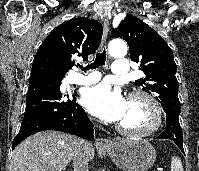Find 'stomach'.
<instances>
[{
    "mask_svg": "<svg viewBox=\"0 0 199 171\" xmlns=\"http://www.w3.org/2000/svg\"><path fill=\"white\" fill-rule=\"evenodd\" d=\"M102 150L124 171H147L156 158L154 147L144 139L120 138Z\"/></svg>",
    "mask_w": 199,
    "mask_h": 171,
    "instance_id": "stomach-1",
    "label": "stomach"
}]
</instances>
